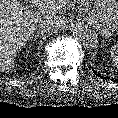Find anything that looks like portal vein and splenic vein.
<instances>
[{"mask_svg": "<svg viewBox=\"0 0 118 118\" xmlns=\"http://www.w3.org/2000/svg\"><path fill=\"white\" fill-rule=\"evenodd\" d=\"M42 5H43V4H42L41 2L38 3V6H39L41 12H43V9H42L43 7H42Z\"/></svg>", "mask_w": 118, "mask_h": 118, "instance_id": "portal-vein-and-splenic-vein-1", "label": "portal vein and splenic vein"}]
</instances>
